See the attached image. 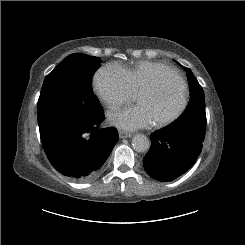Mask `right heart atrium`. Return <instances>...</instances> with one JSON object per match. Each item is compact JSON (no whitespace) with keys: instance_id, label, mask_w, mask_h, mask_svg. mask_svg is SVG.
Segmentation results:
<instances>
[{"instance_id":"1","label":"right heart atrium","mask_w":245,"mask_h":245,"mask_svg":"<svg viewBox=\"0 0 245 245\" xmlns=\"http://www.w3.org/2000/svg\"><path fill=\"white\" fill-rule=\"evenodd\" d=\"M92 83L98 98L109 107L119 106L135 95L126 69L117 63L99 68Z\"/></svg>"}]
</instances>
